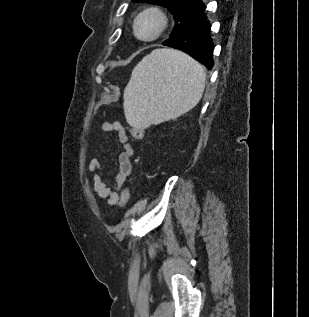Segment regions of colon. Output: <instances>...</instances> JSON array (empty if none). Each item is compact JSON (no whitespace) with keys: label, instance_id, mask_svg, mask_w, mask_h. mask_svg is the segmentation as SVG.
I'll return each mask as SVG.
<instances>
[{"label":"colon","instance_id":"5ec220e1","mask_svg":"<svg viewBox=\"0 0 309 317\" xmlns=\"http://www.w3.org/2000/svg\"><path fill=\"white\" fill-rule=\"evenodd\" d=\"M132 134L136 139H139L143 136V130L140 128H135L133 129ZM129 200H130V191L128 187H125L121 192L120 204L123 207H125L129 203Z\"/></svg>","mask_w":309,"mask_h":317}]
</instances>
